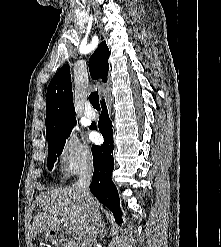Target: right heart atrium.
I'll use <instances>...</instances> for the list:
<instances>
[{
	"mask_svg": "<svg viewBox=\"0 0 221 247\" xmlns=\"http://www.w3.org/2000/svg\"><path fill=\"white\" fill-rule=\"evenodd\" d=\"M58 160L63 173L76 174L87 168L91 161V152L78 135L71 132L62 144Z\"/></svg>",
	"mask_w": 221,
	"mask_h": 247,
	"instance_id": "d8ad5b80",
	"label": "right heart atrium"
}]
</instances>
